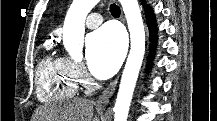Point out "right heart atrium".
Masks as SVG:
<instances>
[{"instance_id": "right-heart-atrium-1", "label": "right heart atrium", "mask_w": 217, "mask_h": 121, "mask_svg": "<svg viewBox=\"0 0 217 121\" xmlns=\"http://www.w3.org/2000/svg\"><path fill=\"white\" fill-rule=\"evenodd\" d=\"M70 62H71L72 70H73L76 78L81 82H86L88 80V76H87V73H86L84 67L79 63H75L72 61H70Z\"/></svg>"}]
</instances>
